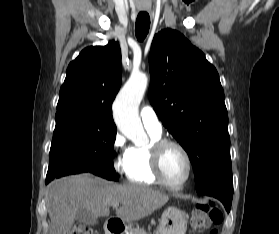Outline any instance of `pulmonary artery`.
Here are the masks:
<instances>
[{
    "label": "pulmonary artery",
    "instance_id": "pulmonary-artery-1",
    "mask_svg": "<svg viewBox=\"0 0 279 234\" xmlns=\"http://www.w3.org/2000/svg\"><path fill=\"white\" fill-rule=\"evenodd\" d=\"M140 117L147 131L154 134L162 133V124L151 105L146 104L141 108Z\"/></svg>",
    "mask_w": 279,
    "mask_h": 234
}]
</instances>
